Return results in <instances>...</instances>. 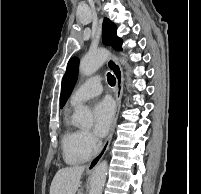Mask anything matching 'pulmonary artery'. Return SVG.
I'll list each match as a JSON object with an SVG mask.
<instances>
[{"mask_svg":"<svg viewBox=\"0 0 201 194\" xmlns=\"http://www.w3.org/2000/svg\"><path fill=\"white\" fill-rule=\"evenodd\" d=\"M103 87L99 77H92L82 83L71 95L70 103L75 106L102 93Z\"/></svg>","mask_w":201,"mask_h":194,"instance_id":"1","label":"pulmonary artery"}]
</instances>
